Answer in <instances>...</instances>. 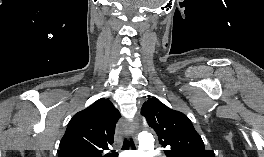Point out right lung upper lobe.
<instances>
[{
    "label": "right lung upper lobe",
    "instance_id": "1",
    "mask_svg": "<svg viewBox=\"0 0 264 157\" xmlns=\"http://www.w3.org/2000/svg\"><path fill=\"white\" fill-rule=\"evenodd\" d=\"M119 111L108 99H99L76 113L61 139L58 157H113L103 155L114 143Z\"/></svg>",
    "mask_w": 264,
    "mask_h": 157
}]
</instances>
